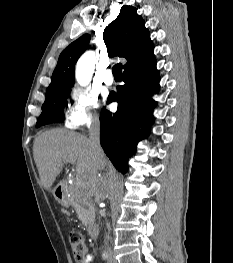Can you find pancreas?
Instances as JSON below:
<instances>
[{"instance_id":"cf45deb5","label":"pancreas","mask_w":233,"mask_h":263,"mask_svg":"<svg viewBox=\"0 0 233 263\" xmlns=\"http://www.w3.org/2000/svg\"><path fill=\"white\" fill-rule=\"evenodd\" d=\"M71 201L79 220L87 227L94 223L95 207L90 196L81 191L79 186L70 189Z\"/></svg>"}]
</instances>
